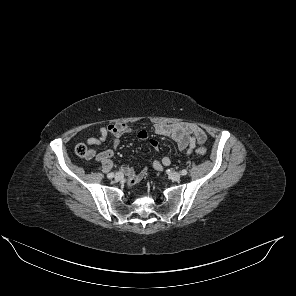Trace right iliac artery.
<instances>
[{"instance_id":"right-iliac-artery-1","label":"right iliac artery","mask_w":296,"mask_h":296,"mask_svg":"<svg viewBox=\"0 0 296 296\" xmlns=\"http://www.w3.org/2000/svg\"><path fill=\"white\" fill-rule=\"evenodd\" d=\"M107 177H108L109 179L113 178V177H114V173H109V174L107 175Z\"/></svg>"}]
</instances>
